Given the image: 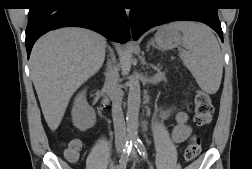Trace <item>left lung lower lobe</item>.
<instances>
[{
    "label": "left lung lower lobe",
    "instance_id": "1",
    "mask_svg": "<svg viewBox=\"0 0 252 169\" xmlns=\"http://www.w3.org/2000/svg\"><path fill=\"white\" fill-rule=\"evenodd\" d=\"M152 8L130 11V26L134 40L149 29L174 21H198L210 26L223 41L221 23L213 0H163Z\"/></svg>",
    "mask_w": 252,
    "mask_h": 169
}]
</instances>
